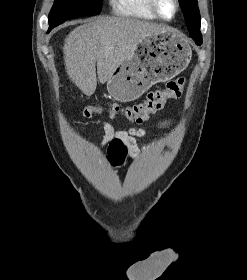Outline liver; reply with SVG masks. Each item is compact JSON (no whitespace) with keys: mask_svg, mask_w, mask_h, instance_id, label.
I'll return each mask as SVG.
<instances>
[{"mask_svg":"<svg viewBox=\"0 0 247 280\" xmlns=\"http://www.w3.org/2000/svg\"><path fill=\"white\" fill-rule=\"evenodd\" d=\"M164 25L128 17H101L73 29L63 53L69 78L87 96L106 83L137 44L149 35L167 32Z\"/></svg>","mask_w":247,"mask_h":280,"instance_id":"1","label":"liver"}]
</instances>
